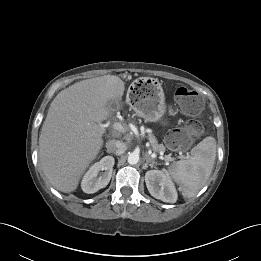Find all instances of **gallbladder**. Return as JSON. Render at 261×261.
<instances>
[{
  "label": "gallbladder",
  "mask_w": 261,
  "mask_h": 261,
  "mask_svg": "<svg viewBox=\"0 0 261 261\" xmlns=\"http://www.w3.org/2000/svg\"><path fill=\"white\" fill-rule=\"evenodd\" d=\"M117 101H115V100H110V101H108V103H107V108L108 109H115L116 107H117Z\"/></svg>",
  "instance_id": "gallbladder-1"
}]
</instances>
